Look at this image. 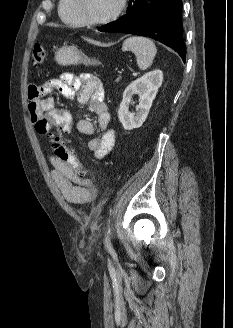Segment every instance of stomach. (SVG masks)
<instances>
[{
  "mask_svg": "<svg viewBox=\"0 0 233 328\" xmlns=\"http://www.w3.org/2000/svg\"><path fill=\"white\" fill-rule=\"evenodd\" d=\"M55 60L58 64L67 65H96L99 62L96 59H90L82 54L77 48L72 46H63L55 53Z\"/></svg>",
  "mask_w": 233,
  "mask_h": 328,
  "instance_id": "0dacf381",
  "label": "stomach"
}]
</instances>
